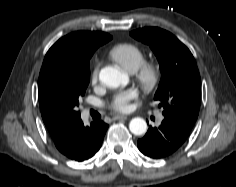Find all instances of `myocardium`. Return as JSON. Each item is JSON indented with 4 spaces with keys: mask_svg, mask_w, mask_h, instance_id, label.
I'll list each match as a JSON object with an SVG mask.
<instances>
[{
    "mask_svg": "<svg viewBox=\"0 0 236 187\" xmlns=\"http://www.w3.org/2000/svg\"><path fill=\"white\" fill-rule=\"evenodd\" d=\"M135 80L146 93L153 92L158 88L162 80V71L155 62H144L134 72Z\"/></svg>",
    "mask_w": 236,
    "mask_h": 187,
    "instance_id": "f54148a6",
    "label": "myocardium"
}]
</instances>
